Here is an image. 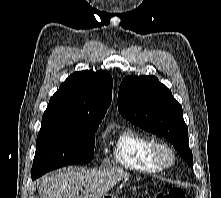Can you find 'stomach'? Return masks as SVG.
<instances>
[{"instance_id":"1","label":"stomach","mask_w":221,"mask_h":198,"mask_svg":"<svg viewBox=\"0 0 221 198\" xmlns=\"http://www.w3.org/2000/svg\"><path fill=\"white\" fill-rule=\"evenodd\" d=\"M103 198H119L118 194H106L105 196H103Z\"/></svg>"}]
</instances>
